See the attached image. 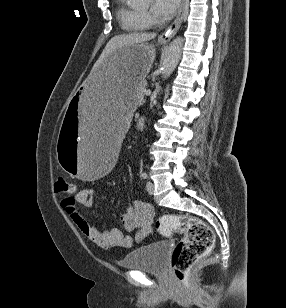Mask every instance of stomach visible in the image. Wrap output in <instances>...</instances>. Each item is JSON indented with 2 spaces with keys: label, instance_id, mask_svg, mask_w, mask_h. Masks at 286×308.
Returning a JSON list of instances; mask_svg holds the SVG:
<instances>
[{
  "label": "stomach",
  "instance_id": "stomach-1",
  "mask_svg": "<svg viewBox=\"0 0 286 308\" xmlns=\"http://www.w3.org/2000/svg\"><path fill=\"white\" fill-rule=\"evenodd\" d=\"M155 59L145 44H124L98 60V67L68 100L62 118L57 161L77 182H100L120 158L123 125H130L136 87Z\"/></svg>",
  "mask_w": 286,
  "mask_h": 308
}]
</instances>
